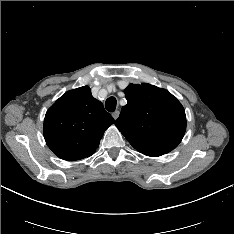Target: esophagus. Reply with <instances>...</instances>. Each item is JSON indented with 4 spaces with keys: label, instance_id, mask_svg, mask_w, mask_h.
<instances>
[{
    "label": "esophagus",
    "instance_id": "34e87169",
    "mask_svg": "<svg viewBox=\"0 0 234 234\" xmlns=\"http://www.w3.org/2000/svg\"><path fill=\"white\" fill-rule=\"evenodd\" d=\"M119 114L120 112L118 110L112 113V117L114 118V120H116L119 117Z\"/></svg>",
    "mask_w": 234,
    "mask_h": 234
}]
</instances>
